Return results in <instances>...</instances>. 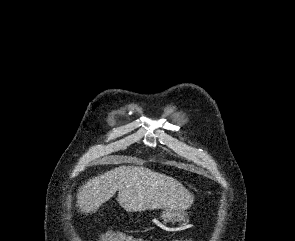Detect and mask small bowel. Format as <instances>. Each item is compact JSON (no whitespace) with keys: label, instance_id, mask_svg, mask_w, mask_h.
Returning a JSON list of instances; mask_svg holds the SVG:
<instances>
[{"label":"small bowel","instance_id":"c3829d8e","mask_svg":"<svg viewBox=\"0 0 295 241\" xmlns=\"http://www.w3.org/2000/svg\"><path fill=\"white\" fill-rule=\"evenodd\" d=\"M127 241H144V240L139 239V238L128 236L127 237ZM187 241H190V240H187Z\"/></svg>","mask_w":295,"mask_h":241}]
</instances>
